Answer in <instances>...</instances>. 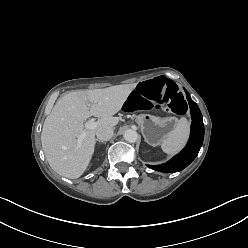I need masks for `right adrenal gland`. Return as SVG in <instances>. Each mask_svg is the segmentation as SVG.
Listing matches in <instances>:
<instances>
[{
	"label": "right adrenal gland",
	"mask_w": 248,
	"mask_h": 248,
	"mask_svg": "<svg viewBox=\"0 0 248 248\" xmlns=\"http://www.w3.org/2000/svg\"><path fill=\"white\" fill-rule=\"evenodd\" d=\"M96 142H99V143H104V144H106V142H104V141H100V140H98V139H96Z\"/></svg>",
	"instance_id": "right-adrenal-gland-1"
}]
</instances>
